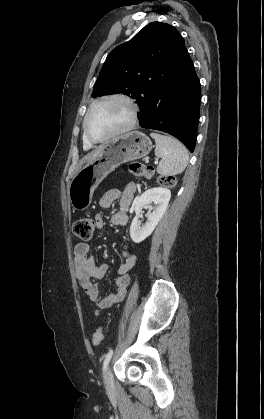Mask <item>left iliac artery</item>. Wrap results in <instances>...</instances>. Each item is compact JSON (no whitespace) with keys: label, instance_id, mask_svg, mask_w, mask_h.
Here are the masks:
<instances>
[{"label":"left iliac artery","instance_id":"obj_1","mask_svg":"<svg viewBox=\"0 0 264 419\" xmlns=\"http://www.w3.org/2000/svg\"><path fill=\"white\" fill-rule=\"evenodd\" d=\"M112 355H113V350H110V351L106 354L105 359H104V362H103V371H105V370H106V368H107V366H108V364H109V361H110V359H111Z\"/></svg>","mask_w":264,"mask_h":419}]
</instances>
